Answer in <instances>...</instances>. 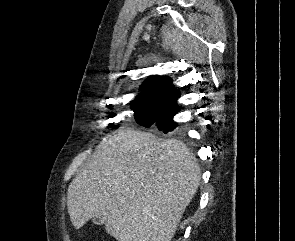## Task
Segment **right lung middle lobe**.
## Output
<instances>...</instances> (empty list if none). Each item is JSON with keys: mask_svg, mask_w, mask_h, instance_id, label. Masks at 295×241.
Returning a JSON list of instances; mask_svg holds the SVG:
<instances>
[{"mask_svg": "<svg viewBox=\"0 0 295 241\" xmlns=\"http://www.w3.org/2000/svg\"><path fill=\"white\" fill-rule=\"evenodd\" d=\"M130 108L134 111V118L136 122L145 127L151 126L155 121L159 122L168 118L167 115L162 113H155L145 111L134 106H130ZM113 127L117 128L120 126V122L112 124Z\"/></svg>", "mask_w": 295, "mask_h": 241, "instance_id": "obj_1", "label": "right lung middle lobe"}]
</instances>
